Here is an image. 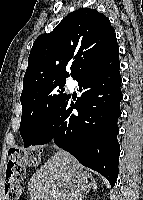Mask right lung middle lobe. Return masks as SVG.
<instances>
[{"label":"right lung middle lobe","mask_w":143,"mask_h":200,"mask_svg":"<svg viewBox=\"0 0 143 200\" xmlns=\"http://www.w3.org/2000/svg\"><path fill=\"white\" fill-rule=\"evenodd\" d=\"M66 80L42 83L21 94L22 116L20 134L24 147L35 140L45 124L67 98L64 93Z\"/></svg>","instance_id":"dd1d6c3e"}]
</instances>
